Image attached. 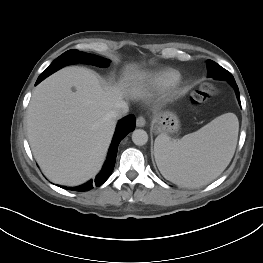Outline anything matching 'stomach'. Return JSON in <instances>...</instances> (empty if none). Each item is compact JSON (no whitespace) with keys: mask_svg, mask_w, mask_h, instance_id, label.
I'll list each match as a JSON object with an SVG mask.
<instances>
[{"mask_svg":"<svg viewBox=\"0 0 263 263\" xmlns=\"http://www.w3.org/2000/svg\"><path fill=\"white\" fill-rule=\"evenodd\" d=\"M153 127L155 132L171 133L179 128V119L172 112L159 113L153 119Z\"/></svg>","mask_w":263,"mask_h":263,"instance_id":"0dacf381","label":"stomach"}]
</instances>
